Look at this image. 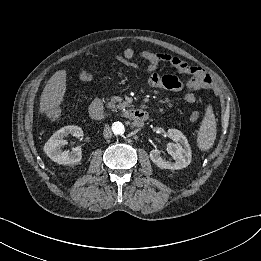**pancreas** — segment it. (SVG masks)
Returning <instances> with one entry per match:
<instances>
[{"label": "pancreas", "mask_w": 261, "mask_h": 261, "mask_svg": "<svg viewBox=\"0 0 261 261\" xmlns=\"http://www.w3.org/2000/svg\"><path fill=\"white\" fill-rule=\"evenodd\" d=\"M107 106L112 110H116L125 108L127 104L122 100V98L114 96L109 99Z\"/></svg>", "instance_id": "pancreas-1"}]
</instances>
